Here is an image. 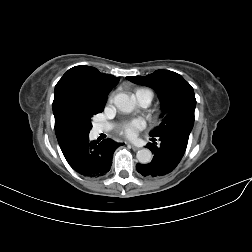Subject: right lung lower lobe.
Here are the masks:
<instances>
[{"mask_svg":"<svg viewBox=\"0 0 252 252\" xmlns=\"http://www.w3.org/2000/svg\"><path fill=\"white\" fill-rule=\"evenodd\" d=\"M123 145L111 139L89 141V134L76 135L60 145L69 165L79 174L97 178L111 168L112 154Z\"/></svg>","mask_w":252,"mask_h":252,"instance_id":"obj_1","label":"right lung lower lobe"}]
</instances>
